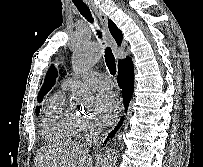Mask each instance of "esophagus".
Here are the masks:
<instances>
[{"mask_svg": "<svg viewBox=\"0 0 203 167\" xmlns=\"http://www.w3.org/2000/svg\"><path fill=\"white\" fill-rule=\"evenodd\" d=\"M90 5H91V8L93 9V11L95 12V14L98 16V18L102 24L103 30L105 32V35H106V38H107L109 44L111 45L113 50L116 51L118 47H117L115 40L113 39V37L111 36V34L108 30L107 16L95 4L91 3Z\"/></svg>", "mask_w": 203, "mask_h": 167, "instance_id": "obj_1", "label": "esophagus"}]
</instances>
